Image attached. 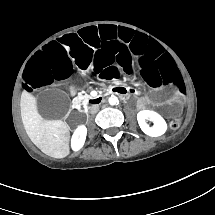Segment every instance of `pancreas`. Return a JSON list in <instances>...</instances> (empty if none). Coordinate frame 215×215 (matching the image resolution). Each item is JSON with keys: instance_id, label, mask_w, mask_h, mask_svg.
Here are the masks:
<instances>
[{"instance_id": "obj_1", "label": "pancreas", "mask_w": 215, "mask_h": 215, "mask_svg": "<svg viewBox=\"0 0 215 215\" xmlns=\"http://www.w3.org/2000/svg\"><path fill=\"white\" fill-rule=\"evenodd\" d=\"M91 98V96L90 95H84L83 96V99H84V102H86L88 99H90Z\"/></svg>"}]
</instances>
